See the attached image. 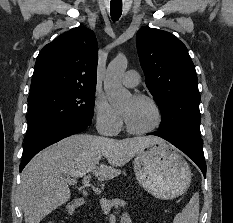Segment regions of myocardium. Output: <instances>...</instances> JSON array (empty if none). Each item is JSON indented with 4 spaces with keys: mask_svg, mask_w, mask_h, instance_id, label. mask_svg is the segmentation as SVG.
Listing matches in <instances>:
<instances>
[{
    "mask_svg": "<svg viewBox=\"0 0 233 223\" xmlns=\"http://www.w3.org/2000/svg\"><path fill=\"white\" fill-rule=\"evenodd\" d=\"M132 97L135 99H141V100H145V101L149 102L153 106V108L156 112L157 122H156L155 126L149 130L136 131L128 125V123L126 122V120L124 118V126H125L126 131L133 136H146V135H150L152 133L157 132L162 127L163 122H164L163 111H162L160 105L158 104V102L153 97L146 95V94L138 93V94H134Z\"/></svg>",
    "mask_w": 233,
    "mask_h": 223,
    "instance_id": "obj_1",
    "label": "myocardium"
}]
</instances>
